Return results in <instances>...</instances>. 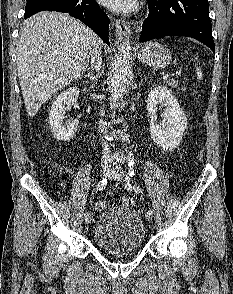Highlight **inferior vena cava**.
<instances>
[{"label":"inferior vena cava","mask_w":233,"mask_h":294,"mask_svg":"<svg viewBox=\"0 0 233 294\" xmlns=\"http://www.w3.org/2000/svg\"><path fill=\"white\" fill-rule=\"evenodd\" d=\"M91 67L93 70L99 71L102 68V60L100 54L93 55L91 57ZM106 123L103 120L99 121V129L101 132L106 131ZM103 153H102V162L104 165H109L112 162L111 151L109 149L108 143L103 142Z\"/></svg>","instance_id":"1"}]
</instances>
